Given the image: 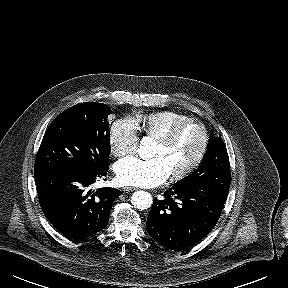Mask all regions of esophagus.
I'll return each instance as SVG.
<instances>
[{"mask_svg":"<svg viewBox=\"0 0 288 288\" xmlns=\"http://www.w3.org/2000/svg\"><path fill=\"white\" fill-rule=\"evenodd\" d=\"M123 190L126 191V192H132V191L137 190V188H135V187H124Z\"/></svg>","mask_w":288,"mask_h":288,"instance_id":"34e87169","label":"esophagus"}]
</instances>
